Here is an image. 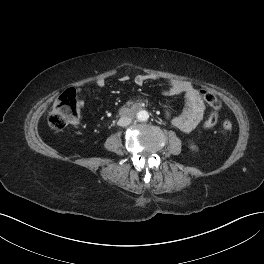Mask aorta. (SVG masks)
Wrapping results in <instances>:
<instances>
[{"label": "aorta", "instance_id": "762f6f07", "mask_svg": "<svg viewBox=\"0 0 264 264\" xmlns=\"http://www.w3.org/2000/svg\"><path fill=\"white\" fill-rule=\"evenodd\" d=\"M136 119L138 121H147L149 119V113L146 110H140L136 113Z\"/></svg>", "mask_w": 264, "mask_h": 264}]
</instances>
